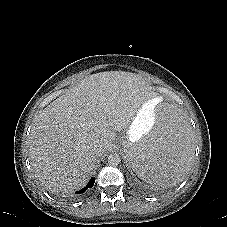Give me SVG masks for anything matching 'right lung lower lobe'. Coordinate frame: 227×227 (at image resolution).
Segmentation results:
<instances>
[{
  "instance_id": "right-lung-lower-lobe-1",
  "label": "right lung lower lobe",
  "mask_w": 227,
  "mask_h": 227,
  "mask_svg": "<svg viewBox=\"0 0 227 227\" xmlns=\"http://www.w3.org/2000/svg\"><path fill=\"white\" fill-rule=\"evenodd\" d=\"M95 182V178H91V180L89 181V183L86 185V187H84L82 190H80L78 192V194H81L83 192H85L88 188H92Z\"/></svg>"
}]
</instances>
